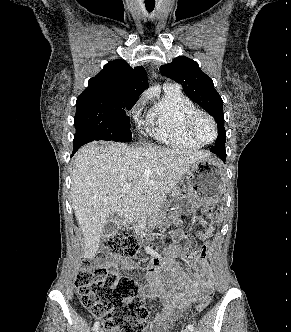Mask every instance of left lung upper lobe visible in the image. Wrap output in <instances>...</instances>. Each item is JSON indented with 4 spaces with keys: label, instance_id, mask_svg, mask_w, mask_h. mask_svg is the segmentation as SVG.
<instances>
[{
    "label": "left lung upper lobe",
    "instance_id": "5c2ea615",
    "mask_svg": "<svg viewBox=\"0 0 291 332\" xmlns=\"http://www.w3.org/2000/svg\"><path fill=\"white\" fill-rule=\"evenodd\" d=\"M160 71L164 76L180 83L185 94L215 118L218 137L214 148H225L223 102L214 88L212 79L202 72L196 61L183 56L162 65Z\"/></svg>",
    "mask_w": 291,
    "mask_h": 332
}]
</instances>
